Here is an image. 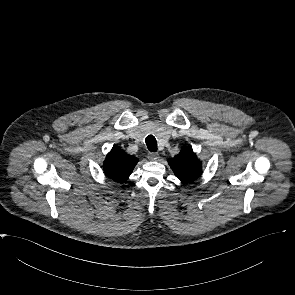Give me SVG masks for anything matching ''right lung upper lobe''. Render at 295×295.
Returning <instances> with one entry per match:
<instances>
[{"instance_id": "right-lung-upper-lobe-1", "label": "right lung upper lobe", "mask_w": 295, "mask_h": 295, "mask_svg": "<svg viewBox=\"0 0 295 295\" xmlns=\"http://www.w3.org/2000/svg\"><path fill=\"white\" fill-rule=\"evenodd\" d=\"M138 159L119 147H113L104 161V173L116 182H124L132 173Z\"/></svg>"}]
</instances>
